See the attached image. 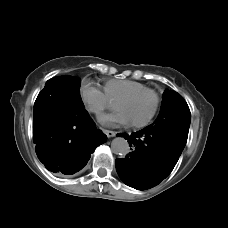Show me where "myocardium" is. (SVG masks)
Segmentation results:
<instances>
[{
	"label": "myocardium",
	"mask_w": 228,
	"mask_h": 228,
	"mask_svg": "<svg viewBox=\"0 0 228 228\" xmlns=\"http://www.w3.org/2000/svg\"><path fill=\"white\" fill-rule=\"evenodd\" d=\"M146 94H151L154 97V106L151 110V112L148 114V116H146L145 118H143L142 120H138V121H134L131 120V123L136 126V127H140V126H144L146 125L148 122H150V120L155 116L158 107H159V103H160V99H159V95L152 89L149 90H145V91H141L139 93H136L134 95H131L127 98H125L124 100H122L118 105V109L124 113V111L122 110V108L127 105L128 103H130L131 101L135 100L136 98L146 95ZM125 114V113H124Z\"/></svg>",
	"instance_id": "myocardium-1"
}]
</instances>
